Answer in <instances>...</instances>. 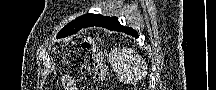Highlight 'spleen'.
Masks as SVG:
<instances>
[{
    "instance_id": "spleen-1",
    "label": "spleen",
    "mask_w": 216,
    "mask_h": 90,
    "mask_svg": "<svg viewBox=\"0 0 216 90\" xmlns=\"http://www.w3.org/2000/svg\"><path fill=\"white\" fill-rule=\"evenodd\" d=\"M125 58L128 60L129 64H133V70H140V68H143L144 60H142L141 56H139L137 52H133V50L127 48Z\"/></svg>"
}]
</instances>
